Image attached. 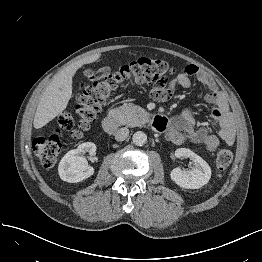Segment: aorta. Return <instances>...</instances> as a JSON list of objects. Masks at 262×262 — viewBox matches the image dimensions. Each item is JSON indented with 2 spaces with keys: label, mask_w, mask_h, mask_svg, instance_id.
<instances>
[{
  "label": "aorta",
  "mask_w": 262,
  "mask_h": 262,
  "mask_svg": "<svg viewBox=\"0 0 262 262\" xmlns=\"http://www.w3.org/2000/svg\"><path fill=\"white\" fill-rule=\"evenodd\" d=\"M132 140L136 146H143L147 142V135L142 131H137L133 134Z\"/></svg>",
  "instance_id": "obj_1"
}]
</instances>
